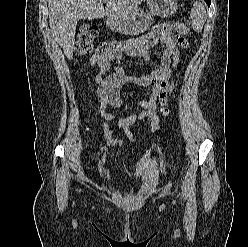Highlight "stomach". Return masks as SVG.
I'll return each mask as SVG.
<instances>
[{
	"label": "stomach",
	"mask_w": 248,
	"mask_h": 247,
	"mask_svg": "<svg viewBox=\"0 0 248 247\" xmlns=\"http://www.w3.org/2000/svg\"><path fill=\"white\" fill-rule=\"evenodd\" d=\"M149 12L137 10L127 19L107 20L108 27L125 35L144 33L153 23V16L168 17L177 10L175 0H146Z\"/></svg>",
	"instance_id": "0dacf381"
}]
</instances>
